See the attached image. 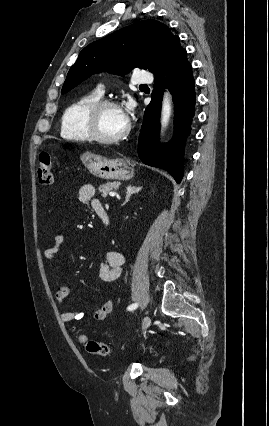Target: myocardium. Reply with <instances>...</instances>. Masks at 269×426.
<instances>
[{
    "label": "myocardium",
    "instance_id": "f54148a6",
    "mask_svg": "<svg viewBox=\"0 0 269 426\" xmlns=\"http://www.w3.org/2000/svg\"><path fill=\"white\" fill-rule=\"evenodd\" d=\"M106 107H116L120 109V105L109 99H99L86 112L85 124L90 139L102 144H116L123 141L130 133V124L127 122L125 130L118 136L113 138L103 137L98 131V118L101 111Z\"/></svg>",
    "mask_w": 269,
    "mask_h": 426
}]
</instances>
